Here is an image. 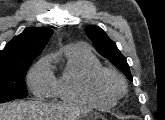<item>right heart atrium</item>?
<instances>
[{
	"label": "right heart atrium",
	"instance_id": "obj_1",
	"mask_svg": "<svg viewBox=\"0 0 165 120\" xmlns=\"http://www.w3.org/2000/svg\"><path fill=\"white\" fill-rule=\"evenodd\" d=\"M54 77L49 69V61L42 58L28 74V84L34 94L48 96L52 94Z\"/></svg>",
	"mask_w": 165,
	"mask_h": 120
}]
</instances>
